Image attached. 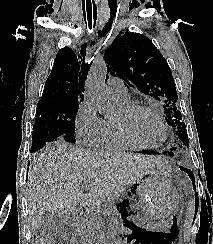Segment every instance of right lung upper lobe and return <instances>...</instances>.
Returning a JSON list of instances; mask_svg holds the SVG:
<instances>
[{
    "label": "right lung upper lobe",
    "mask_w": 213,
    "mask_h": 244,
    "mask_svg": "<svg viewBox=\"0 0 213 244\" xmlns=\"http://www.w3.org/2000/svg\"><path fill=\"white\" fill-rule=\"evenodd\" d=\"M89 67H86L84 58L77 57L70 48L60 49L39 101H83L84 82Z\"/></svg>",
    "instance_id": "1"
}]
</instances>
